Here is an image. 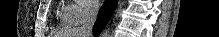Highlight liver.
<instances>
[{"instance_id":"obj_1","label":"liver","mask_w":219,"mask_h":37,"mask_svg":"<svg viewBox=\"0 0 219 37\" xmlns=\"http://www.w3.org/2000/svg\"><path fill=\"white\" fill-rule=\"evenodd\" d=\"M75 35H81V34H78V33H77V34H75ZM77 37H83V36H77Z\"/></svg>"}]
</instances>
